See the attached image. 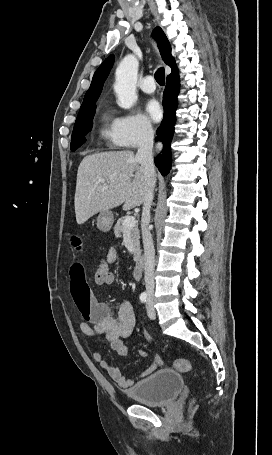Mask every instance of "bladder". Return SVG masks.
<instances>
[{"instance_id": "1", "label": "bladder", "mask_w": 272, "mask_h": 455, "mask_svg": "<svg viewBox=\"0 0 272 455\" xmlns=\"http://www.w3.org/2000/svg\"><path fill=\"white\" fill-rule=\"evenodd\" d=\"M183 385L184 381L180 373L162 369L138 381L128 390V395L136 402L161 406L173 401Z\"/></svg>"}]
</instances>
